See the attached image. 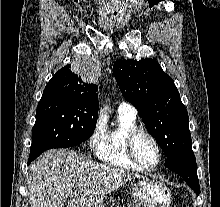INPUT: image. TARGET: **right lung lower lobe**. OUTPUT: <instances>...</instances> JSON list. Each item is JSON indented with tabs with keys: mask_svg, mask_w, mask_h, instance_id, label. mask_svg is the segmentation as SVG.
Here are the masks:
<instances>
[{
	"mask_svg": "<svg viewBox=\"0 0 220 207\" xmlns=\"http://www.w3.org/2000/svg\"><path fill=\"white\" fill-rule=\"evenodd\" d=\"M38 157V155L37 154H30L29 155V160H28V165L34 160V159H36Z\"/></svg>",
	"mask_w": 220,
	"mask_h": 207,
	"instance_id": "1",
	"label": "right lung lower lobe"
}]
</instances>
